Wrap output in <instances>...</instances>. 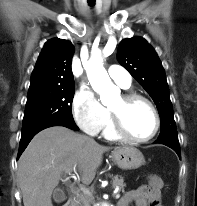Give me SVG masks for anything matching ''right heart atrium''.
<instances>
[{
  "label": "right heart atrium",
  "mask_w": 197,
  "mask_h": 206,
  "mask_svg": "<svg viewBox=\"0 0 197 206\" xmlns=\"http://www.w3.org/2000/svg\"><path fill=\"white\" fill-rule=\"evenodd\" d=\"M72 113L77 125L89 135L98 134L108 117L107 109L88 87H81L75 93Z\"/></svg>",
  "instance_id": "right-heart-atrium-1"
}]
</instances>
